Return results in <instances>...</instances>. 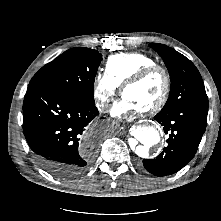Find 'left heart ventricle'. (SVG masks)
<instances>
[{"mask_svg": "<svg viewBox=\"0 0 221 221\" xmlns=\"http://www.w3.org/2000/svg\"><path fill=\"white\" fill-rule=\"evenodd\" d=\"M164 88L162 76L154 74L147 79L130 86L124 96L136 107L137 110L145 109L156 102Z\"/></svg>", "mask_w": 221, "mask_h": 221, "instance_id": "left-heart-ventricle-1", "label": "left heart ventricle"}]
</instances>
